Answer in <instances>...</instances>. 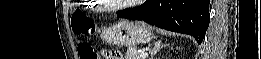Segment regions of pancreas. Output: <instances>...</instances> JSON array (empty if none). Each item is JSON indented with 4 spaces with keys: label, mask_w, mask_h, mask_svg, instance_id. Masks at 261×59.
<instances>
[{
    "label": "pancreas",
    "mask_w": 261,
    "mask_h": 59,
    "mask_svg": "<svg viewBox=\"0 0 261 59\" xmlns=\"http://www.w3.org/2000/svg\"><path fill=\"white\" fill-rule=\"evenodd\" d=\"M125 59H143V58L139 56V52L134 47H129L125 54Z\"/></svg>",
    "instance_id": "pancreas-1"
}]
</instances>
